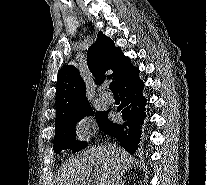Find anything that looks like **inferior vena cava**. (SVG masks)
I'll use <instances>...</instances> for the list:
<instances>
[{"label": "inferior vena cava", "mask_w": 207, "mask_h": 185, "mask_svg": "<svg viewBox=\"0 0 207 185\" xmlns=\"http://www.w3.org/2000/svg\"><path fill=\"white\" fill-rule=\"evenodd\" d=\"M111 185H115V183H111Z\"/></svg>", "instance_id": "inferior-vena-cava-1"}]
</instances>
